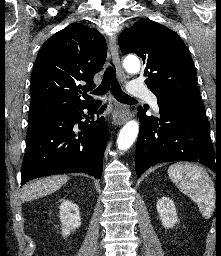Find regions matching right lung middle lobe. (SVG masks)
I'll return each mask as SVG.
<instances>
[{
    "instance_id": "right-lung-middle-lobe-1",
    "label": "right lung middle lobe",
    "mask_w": 221,
    "mask_h": 256,
    "mask_svg": "<svg viewBox=\"0 0 221 256\" xmlns=\"http://www.w3.org/2000/svg\"><path fill=\"white\" fill-rule=\"evenodd\" d=\"M43 116L42 115H33V116H29V125L35 124L41 120H43Z\"/></svg>"
}]
</instances>
